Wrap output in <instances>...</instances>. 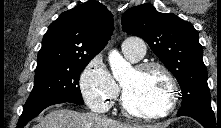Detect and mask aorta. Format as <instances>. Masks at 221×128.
Returning a JSON list of instances; mask_svg holds the SVG:
<instances>
[{
  "label": "aorta",
  "instance_id": "aorta-1",
  "mask_svg": "<svg viewBox=\"0 0 221 128\" xmlns=\"http://www.w3.org/2000/svg\"><path fill=\"white\" fill-rule=\"evenodd\" d=\"M108 61L113 77L116 80H120L126 73L132 70L131 64L115 49L109 52Z\"/></svg>",
  "mask_w": 221,
  "mask_h": 128
}]
</instances>
